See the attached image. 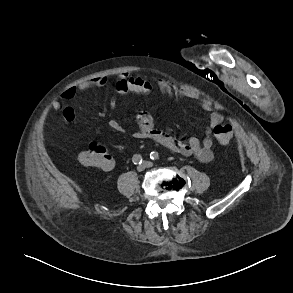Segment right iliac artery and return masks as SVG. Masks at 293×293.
<instances>
[{
  "instance_id": "obj_1",
  "label": "right iliac artery",
  "mask_w": 293,
  "mask_h": 293,
  "mask_svg": "<svg viewBox=\"0 0 293 293\" xmlns=\"http://www.w3.org/2000/svg\"><path fill=\"white\" fill-rule=\"evenodd\" d=\"M132 162L134 164H141L142 163V156L139 155V154H135L133 157H132Z\"/></svg>"
}]
</instances>
